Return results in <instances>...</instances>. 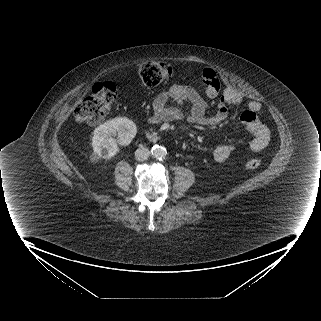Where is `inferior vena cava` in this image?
Returning <instances> with one entry per match:
<instances>
[{
  "instance_id": "obj_1",
  "label": "inferior vena cava",
  "mask_w": 321,
  "mask_h": 321,
  "mask_svg": "<svg viewBox=\"0 0 321 321\" xmlns=\"http://www.w3.org/2000/svg\"><path fill=\"white\" fill-rule=\"evenodd\" d=\"M150 155V151L148 148H145V147H141V148H138L136 151H135V158L138 160V161H146L148 159Z\"/></svg>"
}]
</instances>
